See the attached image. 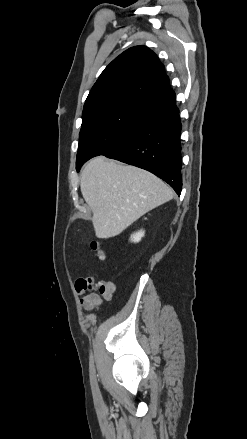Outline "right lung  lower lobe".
<instances>
[{
  "instance_id": "1",
  "label": "right lung lower lobe",
  "mask_w": 247,
  "mask_h": 439,
  "mask_svg": "<svg viewBox=\"0 0 247 439\" xmlns=\"http://www.w3.org/2000/svg\"><path fill=\"white\" fill-rule=\"evenodd\" d=\"M180 131L179 110L173 100L155 110L139 128L103 155L152 172L180 195Z\"/></svg>"
}]
</instances>
